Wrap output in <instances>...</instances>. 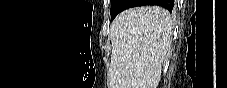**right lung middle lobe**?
Listing matches in <instances>:
<instances>
[{"mask_svg":"<svg viewBox=\"0 0 227 88\" xmlns=\"http://www.w3.org/2000/svg\"><path fill=\"white\" fill-rule=\"evenodd\" d=\"M129 0H111V20H113L117 14L124 10Z\"/></svg>","mask_w":227,"mask_h":88,"instance_id":"1","label":"right lung middle lobe"}]
</instances>
